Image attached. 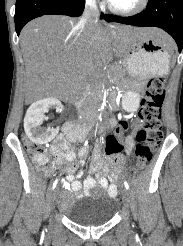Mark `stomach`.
Masks as SVG:
<instances>
[{
	"mask_svg": "<svg viewBox=\"0 0 183 246\" xmlns=\"http://www.w3.org/2000/svg\"><path fill=\"white\" fill-rule=\"evenodd\" d=\"M167 45L154 39H135L124 47L126 71L134 78L146 79L167 73L169 53Z\"/></svg>",
	"mask_w": 183,
	"mask_h": 246,
	"instance_id": "1",
	"label": "stomach"
}]
</instances>
